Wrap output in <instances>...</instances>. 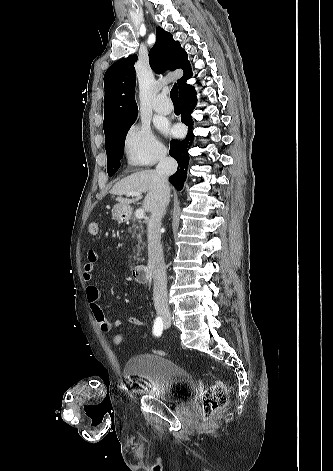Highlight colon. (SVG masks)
<instances>
[{"label":"colon","instance_id":"5ec220e1","mask_svg":"<svg viewBox=\"0 0 333 471\" xmlns=\"http://www.w3.org/2000/svg\"><path fill=\"white\" fill-rule=\"evenodd\" d=\"M88 231L91 235L98 234V224L96 222H91L88 226ZM112 339L116 346H121L125 341V337L122 333H115ZM153 353L162 356L166 355L162 350H154ZM228 400L229 395L225 384L218 380L215 381L203 394V420L205 422L209 421L217 411L221 410L228 404Z\"/></svg>","mask_w":333,"mask_h":471}]
</instances>
